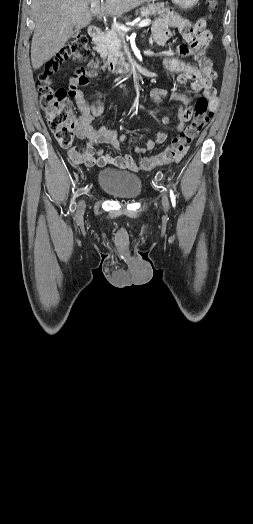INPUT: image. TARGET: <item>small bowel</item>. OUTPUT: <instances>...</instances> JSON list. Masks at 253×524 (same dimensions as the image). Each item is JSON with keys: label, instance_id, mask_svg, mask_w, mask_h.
Segmentation results:
<instances>
[{"label": "small bowel", "instance_id": "c3829d8e", "mask_svg": "<svg viewBox=\"0 0 253 524\" xmlns=\"http://www.w3.org/2000/svg\"><path fill=\"white\" fill-rule=\"evenodd\" d=\"M171 27L179 29L184 42L187 43L180 46L176 50V54L183 58L187 57L191 62L197 61L199 55L190 49L201 51L204 48L210 47L212 43V34L208 29H205V22L202 18L195 22H191L185 18H178L173 20H158L153 25L151 31L152 45L159 48L164 47L172 36ZM164 65L170 73L178 76L180 83L191 81V88L193 90L201 91L203 97L209 99L212 103L215 102L216 89L214 87V81L216 79V73L209 57L202 56L199 59L198 66L186 63L175 57H169L164 60ZM156 66H159V63H156ZM160 66H163V63H160ZM168 96L179 103L176 129L181 131L191 117L189 97L184 92H170L165 88H153L149 93V97L153 103H160ZM75 101L79 111V127L76 130V134L78 138L85 139L86 142L79 150L69 149L67 151L70 162L74 164H84L90 167L114 166L134 172L138 171L140 166L131 155L113 156L109 152H103L102 150L95 151L94 144L106 143L117 149L119 143L126 139L125 135L118 134L114 130L105 126L97 127L95 125V118L102 115L104 111L103 103L96 101L93 104H89L85 101L82 93L80 96L75 97ZM162 122L167 124V118H163ZM167 135V131L159 130L155 136L147 140L143 146H136L134 151L136 153H145L153 149L156 145L163 143Z\"/></svg>", "mask_w": 253, "mask_h": 524}]
</instances>
